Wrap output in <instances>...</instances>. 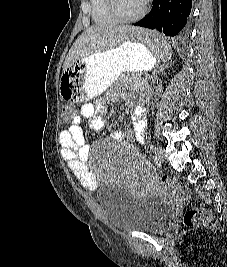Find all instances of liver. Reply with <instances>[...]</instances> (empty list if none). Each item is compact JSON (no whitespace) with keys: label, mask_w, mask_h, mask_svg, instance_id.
Returning a JSON list of instances; mask_svg holds the SVG:
<instances>
[{"label":"liver","mask_w":227,"mask_h":267,"mask_svg":"<svg viewBox=\"0 0 227 267\" xmlns=\"http://www.w3.org/2000/svg\"><path fill=\"white\" fill-rule=\"evenodd\" d=\"M128 33H138V30H124V25H92L74 42L64 62L63 71L76 60L107 51L131 39L128 38Z\"/></svg>","instance_id":"1"}]
</instances>
